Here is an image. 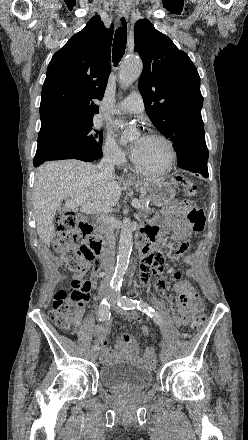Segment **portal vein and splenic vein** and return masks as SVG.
<instances>
[{"label":"portal vein and splenic vein","mask_w":248,"mask_h":440,"mask_svg":"<svg viewBox=\"0 0 248 440\" xmlns=\"http://www.w3.org/2000/svg\"><path fill=\"white\" fill-rule=\"evenodd\" d=\"M88 199V194H84L78 198L75 199H68L65 203L66 208L68 209H77L79 206L82 205L81 211L85 213H92V212H111L112 208L108 205H99L95 203H86L83 204ZM132 206L135 208H140L141 204L139 200L133 199L132 200Z\"/></svg>","instance_id":"1"}]
</instances>
